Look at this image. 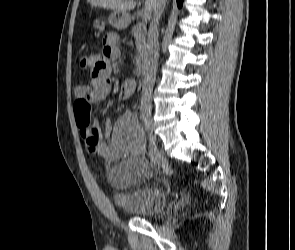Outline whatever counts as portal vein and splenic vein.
Instances as JSON below:
<instances>
[{"mask_svg": "<svg viewBox=\"0 0 295 250\" xmlns=\"http://www.w3.org/2000/svg\"><path fill=\"white\" fill-rule=\"evenodd\" d=\"M150 13H151L150 9L145 8V10L143 11V14H142L143 20H147V18L149 17Z\"/></svg>", "mask_w": 295, "mask_h": 250, "instance_id": "portal-vein-and-splenic-vein-1", "label": "portal vein and splenic vein"}]
</instances>
